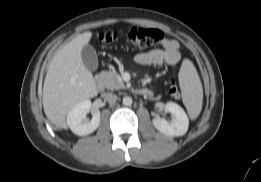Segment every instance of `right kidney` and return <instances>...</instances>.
Returning a JSON list of instances; mask_svg holds the SVG:
<instances>
[{"instance_id":"obj_1","label":"right kidney","mask_w":261,"mask_h":182,"mask_svg":"<svg viewBox=\"0 0 261 182\" xmlns=\"http://www.w3.org/2000/svg\"><path fill=\"white\" fill-rule=\"evenodd\" d=\"M91 106V101L86 99L74 105L68 112L67 124L76 135H89L98 128L100 124L99 110L94 111L90 121L85 120L86 114L90 111Z\"/></svg>"}]
</instances>
